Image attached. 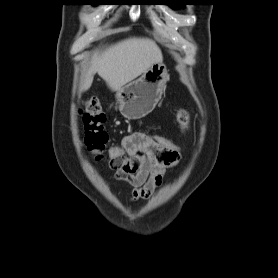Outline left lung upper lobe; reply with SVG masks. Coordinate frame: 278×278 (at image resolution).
Masks as SVG:
<instances>
[{
	"label": "left lung upper lobe",
	"mask_w": 278,
	"mask_h": 278,
	"mask_svg": "<svg viewBox=\"0 0 278 278\" xmlns=\"http://www.w3.org/2000/svg\"><path fill=\"white\" fill-rule=\"evenodd\" d=\"M169 2L167 5L171 6L174 9H179L184 6V4L179 3V0H168Z\"/></svg>",
	"instance_id": "5c2ea615"
}]
</instances>
